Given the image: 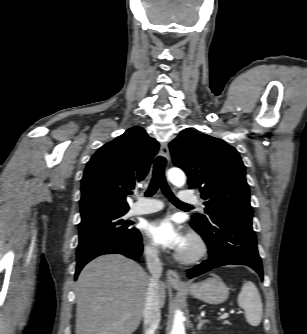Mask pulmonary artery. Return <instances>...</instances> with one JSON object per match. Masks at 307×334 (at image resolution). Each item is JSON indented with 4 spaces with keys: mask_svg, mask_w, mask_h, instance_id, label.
Segmentation results:
<instances>
[{
    "mask_svg": "<svg viewBox=\"0 0 307 334\" xmlns=\"http://www.w3.org/2000/svg\"><path fill=\"white\" fill-rule=\"evenodd\" d=\"M184 192L185 191H181L178 194V198L180 200L202 206V202L200 199L196 197L186 196ZM163 207H164V204L162 203V201L158 199L137 197V201L132 206L130 212L134 215L149 214V213L159 211Z\"/></svg>",
    "mask_w": 307,
    "mask_h": 334,
    "instance_id": "pulmonary-artery-1",
    "label": "pulmonary artery"
}]
</instances>
